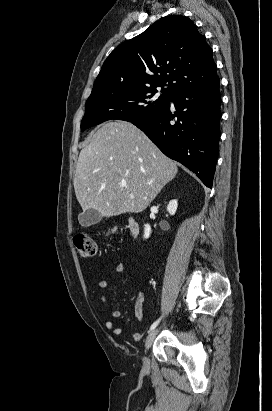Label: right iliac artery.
I'll list each match as a JSON object with an SVG mask.
<instances>
[{"label":"right iliac artery","mask_w":272,"mask_h":411,"mask_svg":"<svg viewBox=\"0 0 272 411\" xmlns=\"http://www.w3.org/2000/svg\"><path fill=\"white\" fill-rule=\"evenodd\" d=\"M160 320H161V318H159L157 321H155V322L151 325L150 331H152L153 329L156 328V326L159 324Z\"/></svg>","instance_id":"1"}]
</instances>
